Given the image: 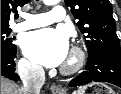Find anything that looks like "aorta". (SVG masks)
<instances>
[{"label": "aorta", "instance_id": "762f6f07", "mask_svg": "<svg viewBox=\"0 0 121 94\" xmlns=\"http://www.w3.org/2000/svg\"><path fill=\"white\" fill-rule=\"evenodd\" d=\"M44 4L46 5H54L59 2V0H43Z\"/></svg>", "mask_w": 121, "mask_h": 94}]
</instances>
